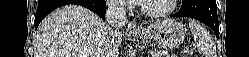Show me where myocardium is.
I'll return each instance as SVG.
<instances>
[{
	"label": "myocardium",
	"mask_w": 249,
	"mask_h": 57,
	"mask_svg": "<svg viewBox=\"0 0 249 57\" xmlns=\"http://www.w3.org/2000/svg\"><path fill=\"white\" fill-rule=\"evenodd\" d=\"M177 2H178L177 0H170L169 6L162 11H150L145 7L143 3H140L139 10L141 14H143L146 17L154 18V19L162 18V17L168 16L174 11Z\"/></svg>",
	"instance_id": "f54148a6"
}]
</instances>
